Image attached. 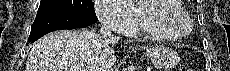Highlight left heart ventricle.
<instances>
[{"label": "left heart ventricle", "mask_w": 230, "mask_h": 71, "mask_svg": "<svg viewBox=\"0 0 230 71\" xmlns=\"http://www.w3.org/2000/svg\"><path fill=\"white\" fill-rule=\"evenodd\" d=\"M171 18H167L166 21H168V25H172V22L170 20ZM179 28V27H178Z\"/></svg>", "instance_id": "obj_1"}]
</instances>
